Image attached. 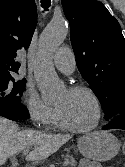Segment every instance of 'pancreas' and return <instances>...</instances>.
Wrapping results in <instances>:
<instances>
[{
    "instance_id": "pancreas-1",
    "label": "pancreas",
    "mask_w": 125,
    "mask_h": 167,
    "mask_svg": "<svg viewBox=\"0 0 125 167\" xmlns=\"http://www.w3.org/2000/svg\"><path fill=\"white\" fill-rule=\"evenodd\" d=\"M65 160L69 161L70 167H76L77 162L72 156L67 155Z\"/></svg>"
}]
</instances>
